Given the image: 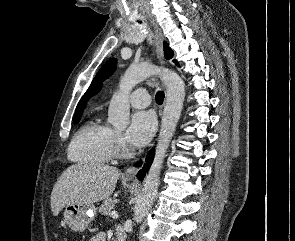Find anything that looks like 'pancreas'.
<instances>
[{
	"mask_svg": "<svg viewBox=\"0 0 295 241\" xmlns=\"http://www.w3.org/2000/svg\"><path fill=\"white\" fill-rule=\"evenodd\" d=\"M114 208V201L111 199H105L103 204L99 207V213L102 215H109Z\"/></svg>",
	"mask_w": 295,
	"mask_h": 241,
	"instance_id": "pancreas-1",
	"label": "pancreas"
}]
</instances>
